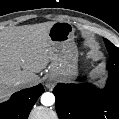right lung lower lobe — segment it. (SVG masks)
Here are the masks:
<instances>
[{
  "instance_id": "98d812e1",
  "label": "right lung lower lobe",
  "mask_w": 119,
  "mask_h": 119,
  "mask_svg": "<svg viewBox=\"0 0 119 119\" xmlns=\"http://www.w3.org/2000/svg\"><path fill=\"white\" fill-rule=\"evenodd\" d=\"M43 92L44 88L39 84L14 93L10 100L0 104V119H27L33 105Z\"/></svg>"
}]
</instances>
